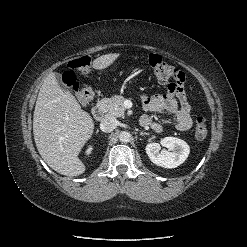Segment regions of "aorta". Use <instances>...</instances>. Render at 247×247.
<instances>
[{
  "mask_svg": "<svg viewBox=\"0 0 247 247\" xmlns=\"http://www.w3.org/2000/svg\"><path fill=\"white\" fill-rule=\"evenodd\" d=\"M132 139V135L130 132L128 131H122L120 134H119V140L122 142V143H128L130 142Z\"/></svg>",
  "mask_w": 247,
  "mask_h": 247,
  "instance_id": "aorta-1",
  "label": "aorta"
}]
</instances>
